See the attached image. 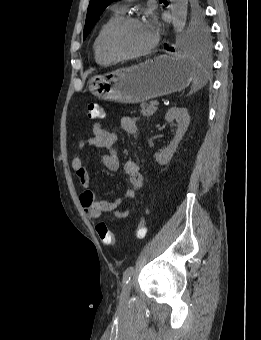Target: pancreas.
Wrapping results in <instances>:
<instances>
[{
  "instance_id": "pancreas-1",
  "label": "pancreas",
  "mask_w": 261,
  "mask_h": 340,
  "mask_svg": "<svg viewBox=\"0 0 261 340\" xmlns=\"http://www.w3.org/2000/svg\"><path fill=\"white\" fill-rule=\"evenodd\" d=\"M154 103H155V101H150L149 103H142L140 105V107H141V111H140L141 114L143 116H145V117L152 116L156 112V110H157V108L155 107Z\"/></svg>"
}]
</instances>
